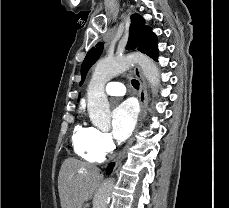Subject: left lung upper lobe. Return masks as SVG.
Returning a JSON list of instances; mask_svg holds the SVG:
<instances>
[{
  "instance_id": "1",
  "label": "left lung upper lobe",
  "mask_w": 229,
  "mask_h": 208,
  "mask_svg": "<svg viewBox=\"0 0 229 208\" xmlns=\"http://www.w3.org/2000/svg\"><path fill=\"white\" fill-rule=\"evenodd\" d=\"M157 43V38L152 32V28L145 25V20L139 14H133L131 16L129 39L126 48L128 50L138 48L139 51L149 55L151 58L157 61ZM102 51L103 44L99 42L87 53L81 66L82 80L80 85L83 83L89 68L98 60Z\"/></svg>"
}]
</instances>
